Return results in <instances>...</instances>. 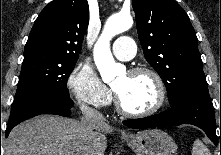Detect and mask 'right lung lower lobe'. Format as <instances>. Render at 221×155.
<instances>
[{
    "mask_svg": "<svg viewBox=\"0 0 221 155\" xmlns=\"http://www.w3.org/2000/svg\"><path fill=\"white\" fill-rule=\"evenodd\" d=\"M73 107L70 97H62L48 92H36L26 97L10 114L5 135L17 124L41 114L69 116ZM1 138V131H0Z\"/></svg>",
    "mask_w": 221,
    "mask_h": 155,
    "instance_id": "right-lung-lower-lobe-1",
    "label": "right lung lower lobe"
}]
</instances>
